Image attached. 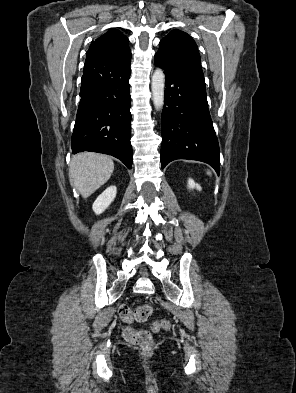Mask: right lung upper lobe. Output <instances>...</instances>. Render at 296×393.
<instances>
[{
	"mask_svg": "<svg viewBox=\"0 0 296 393\" xmlns=\"http://www.w3.org/2000/svg\"><path fill=\"white\" fill-rule=\"evenodd\" d=\"M129 40L119 30L111 29L92 42L86 58H106L130 53Z\"/></svg>",
	"mask_w": 296,
	"mask_h": 393,
	"instance_id": "cb5924a9",
	"label": "right lung upper lobe"
}]
</instances>
